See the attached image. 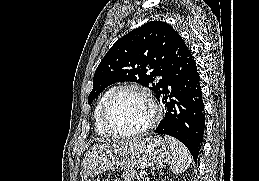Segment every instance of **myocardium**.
I'll list each match as a JSON object with an SVG mask.
<instances>
[{
    "label": "myocardium",
    "instance_id": "f54148a6",
    "mask_svg": "<svg viewBox=\"0 0 259 181\" xmlns=\"http://www.w3.org/2000/svg\"><path fill=\"white\" fill-rule=\"evenodd\" d=\"M129 90H133V91H137L139 93H141L145 99L148 101L151 110H152V118L151 120L140 130H136V131H132V132H121L116 130L110 123V112L112 109V106L115 102V100L117 99V97L125 92V91H129ZM161 119V109L157 103V101L155 100L154 96L152 95V93L150 92V90L140 84H136V83H131V84H125V85H121L117 88H115L112 93L109 95V97L107 98L103 109H102V123L104 125V127L110 132L111 135L116 136V137H120V138H135V137H140L143 136L145 134H147L150 130H152L153 128H155L157 126V124L159 123Z\"/></svg>",
    "mask_w": 259,
    "mask_h": 181
}]
</instances>
